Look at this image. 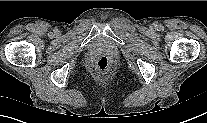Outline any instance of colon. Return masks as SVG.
<instances>
[{"label": "colon", "instance_id": "colon-1", "mask_svg": "<svg viewBox=\"0 0 207 123\" xmlns=\"http://www.w3.org/2000/svg\"><path fill=\"white\" fill-rule=\"evenodd\" d=\"M95 65L99 70L105 71L109 68L110 63L106 57H100L96 60Z\"/></svg>", "mask_w": 207, "mask_h": 123}]
</instances>
